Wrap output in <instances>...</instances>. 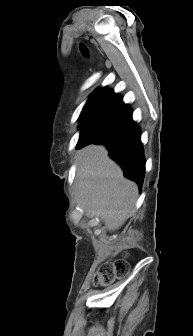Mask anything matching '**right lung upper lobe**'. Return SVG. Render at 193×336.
<instances>
[{
    "mask_svg": "<svg viewBox=\"0 0 193 336\" xmlns=\"http://www.w3.org/2000/svg\"><path fill=\"white\" fill-rule=\"evenodd\" d=\"M120 101L121 97L113 94L111 90L97 89L87 101L80 115L79 123L97 119L106 110L115 109ZM85 141L88 140L80 138L78 143Z\"/></svg>",
    "mask_w": 193,
    "mask_h": 336,
    "instance_id": "obj_1",
    "label": "right lung upper lobe"
}]
</instances>
